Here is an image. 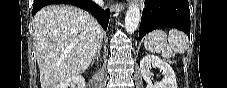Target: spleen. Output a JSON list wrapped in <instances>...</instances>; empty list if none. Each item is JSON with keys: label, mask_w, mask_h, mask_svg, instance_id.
<instances>
[{"label": "spleen", "mask_w": 227, "mask_h": 88, "mask_svg": "<svg viewBox=\"0 0 227 88\" xmlns=\"http://www.w3.org/2000/svg\"><path fill=\"white\" fill-rule=\"evenodd\" d=\"M144 47L150 53H161L162 57L169 59L186 51L188 38L177 29L170 30L168 34L162 30H155L145 37Z\"/></svg>", "instance_id": "3e777b00"}]
</instances>
